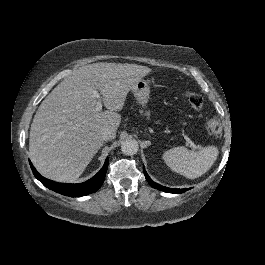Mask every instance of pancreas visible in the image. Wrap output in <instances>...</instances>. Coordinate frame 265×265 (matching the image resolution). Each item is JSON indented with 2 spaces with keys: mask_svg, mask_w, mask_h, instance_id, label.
<instances>
[{
  "mask_svg": "<svg viewBox=\"0 0 265 265\" xmlns=\"http://www.w3.org/2000/svg\"><path fill=\"white\" fill-rule=\"evenodd\" d=\"M139 114L142 116H146L147 119L150 118L151 110L148 107H144L142 109H139Z\"/></svg>",
  "mask_w": 265,
  "mask_h": 265,
  "instance_id": "pancreas-1",
  "label": "pancreas"
}]
</instances>
